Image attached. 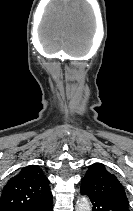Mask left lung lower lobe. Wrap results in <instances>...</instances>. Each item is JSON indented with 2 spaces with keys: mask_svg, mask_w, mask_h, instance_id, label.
<instances>
[{
  "mask_svg": "<svg viewBox=\"0 0 133 211\" xmlns=\"http://www.w3.org/2000/svg\"><path fill=\"white\" fill-rule=\"evenodd\" d=\"M81 194L87 195L92 203V211H129L127 205L110 200L101 198L99 196L88 193L81 189Z\"/></svg>",
  "mask_w": 133,
  "mask_h": 211,
  "instance_id": "obj_1",
  "label": "left lung lower lobe"
}]
</instances>
